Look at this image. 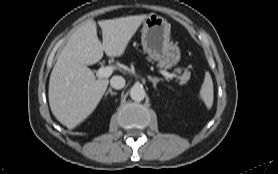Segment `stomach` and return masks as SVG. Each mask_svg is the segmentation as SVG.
Here are the masks:
<instances>
[{"label": "stomach", "instance_id": "stomach-1", "mask_svg": "<svg viewBox=\"0 0 278 174\" xmlns=\"http://www.w3.org/2000/svg\"><path fill=\"white\" fill-rule=\"evenodd\" d=\"M171 25L163 17L150 14L143 21L141 42L149 57L159 63L175 66L181 58L180 48L171 41Z\"/></svg>", "mask_w": 278, "mask_h": 174}]
</instances>
